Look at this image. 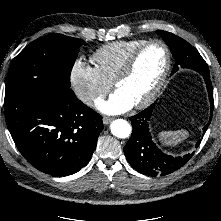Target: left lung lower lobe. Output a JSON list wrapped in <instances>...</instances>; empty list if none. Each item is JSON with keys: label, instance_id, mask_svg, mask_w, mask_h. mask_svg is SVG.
I'll list each match as a JSON object with an SVG mask.
<instances>
[{"label": "left lung lower lobe", "instance_id": "1", "mask_svg": "<svg viewBox=\"0 0 221 221\" xmlns=\"http://www.w3.org/2000/svg\"><path fill=\"white\" fill-rule=\"evenodd\" d=\"M203 75V74H202ZM211 105V116L213 114V90L210 81V74L203 75ZM155 103L130 118L133 127L132 135L124 147L125 156L130 165L138 172L148 176H164L181 168L193 156L192 154L183 157H173L164 154L153 142L149 130V121ZM209 123L204 126L205 132ZM199 145V142L196 144Z\"/></svg>", "mask_w": 221, "mask_h": 221}]
</instances>
